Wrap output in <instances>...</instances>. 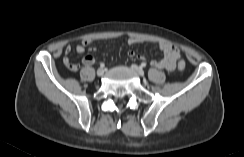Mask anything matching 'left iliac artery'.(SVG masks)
<instances>
[{
	"label": "left iliac artery",
	"mask_w": 244,
	"mask_h": 157,
	"mask_svg": "<svg viewBox=\"0 0 244 157\" xmlns=\"http://www.w3.org/2000/svg\"><path fill=\"white\" fill-rule=\"evenodd\" d=\"M142 68L143 67H145L146 66V64L145 63H141V65H140Z\"/></svg>",
	"instance_id": "1"
}]
</instances>
